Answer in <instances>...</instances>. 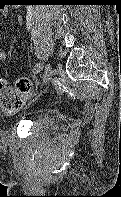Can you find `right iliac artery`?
<instances>
[{
  "label": "right iliac artery",
  "instance_id": "obj_1",
  "mask_svg": "<svg viewBox=\"0 0 121 197\" xmlns=\"http://www.w3.org/2000/svg\"><path fill=\"white\" fill-rule=\"evenodd\" d=\"M42 69H43V65H42V64H37V65L35 66V68H34L33 73H34V74H39V73L42 71Z\"/></svg>",
  "mask_w": 121,
  "mask_h": 197
}]
</instances>
